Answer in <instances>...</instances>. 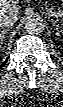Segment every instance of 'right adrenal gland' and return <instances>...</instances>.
Segmentation results:
<instances>
[{
	"label": "right adrenal gland",
	"instance_id": "obj_1",
	"mask_svg": "<svg viewBox=\"0 0 63 107\" xmlns=\"http://www.w3.org/2000/svg\"><path fill=\"white\" fill-rule=\"evenodd\" d=\"M9 30H10V28L1 30V32H0V41H1L0 43H1V45L3 44V40L5 38L6 32H8Z\"/></svg>",
	"mask_w": 63,
	"mask_h": 107
}]
</instances>
